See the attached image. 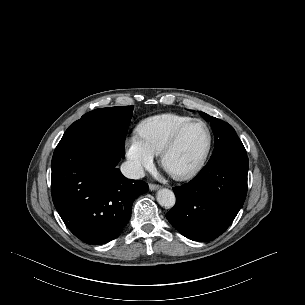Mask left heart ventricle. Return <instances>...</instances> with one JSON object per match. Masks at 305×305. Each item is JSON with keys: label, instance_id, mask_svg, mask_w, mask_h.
<instances>
[{"label": "left heart ventricle", "instance_id": "left-heart-ventricle-1", "mask_svg": "<svg viewBox=\"0 0 305 305\" xmlns=\"http://www.w3.org/2000/svg\"><path fill=\"white\" fill-rule=\"evenodd\" d=\"M207 138V130L202 124L189 127L178 147L168 158L169 169L173 172H182L192 167L201 157Z\"/></svg>", "mask_w": 305, "mask_h": 305}]
</instances>
